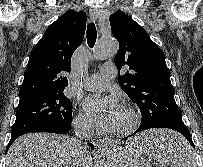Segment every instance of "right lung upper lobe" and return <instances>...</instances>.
<instances>
[{"label":"right lung upper lobe","instance_id":"obj_1","mask_svg":"<svg viewBox=\"0 0 203 167\" xmlns=\"http://www.w3.org/2000/svg\"><path fill=\"white\" fill-rule=\"evenodd\" d=\"M85 26L84 12L68 10L47 28L30 53L19 102L64 90L68 85L65 72H70L71 57L83 41Z\"/></svg>","mask_w":203,"mask_h":167}]
</instances>
